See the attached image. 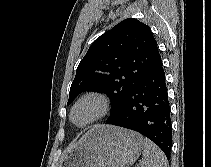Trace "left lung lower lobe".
<instances>
[{
  "mask_svg": "<svg viewBox=\"0 0 211 167\" xmlns=\"http://www.w3.org/2000/svg\"><path fill=\"white\" fill-rule=\"evenodd\" d=\"M141 133L170 158L172 126L165 73L160 54L150 70L126 96L119 113L106 121Z\"/></svg>",
  "mask_w": 211,
  "mask_h": 167,
  "instance_id": "1",
  "label": "left lung lower lobe"
}]
</instances>
